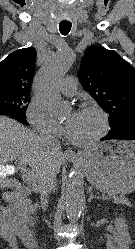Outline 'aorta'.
<instances>
[{
	"label": "aorta",
	"mask_w": 135,
	"mask_h": 249,
	"mask_svg": "<svg viewBox=\"0 0 135 249\" xmlns=\"http://www.w3.org/2000/svg\"><path fill=\"white\" fill-rule=\"evenodd\" d=\"M74 58L75 54L72 50L62 48L43 66L37 75L36 97L52 115L59 116L63 112L59 83L70 69ZM83 183V176L77 171H72L65 183L66 214L72 222L78 220L84 206Z\"/></svg>",
	"instance_id": "762f6f07"
}]
</instances>
